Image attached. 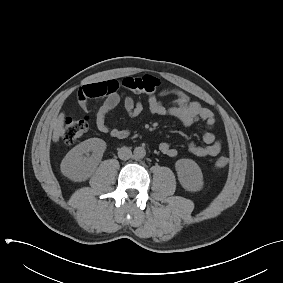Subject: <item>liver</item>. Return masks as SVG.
Returning <instances> with one entry per match:
<instances>
[{
  "label": "liver",
  "mask_w": 283,
  "mask_h": 283,
  "mask_svg": "<svg viewBox=\"0 0 283 283\" xmlns=\"http://www.w3.org/2000/svg\"><path fill=\"white\" fill-rule=\"evenodd\" d=\"M64 113H60V115L55 119L53 123V136L52 140L54 142H58L59 138L62 137L65 133L64 129Z\"/></svg>",
  "instance_id": "obj_1"
}]
</instances>
